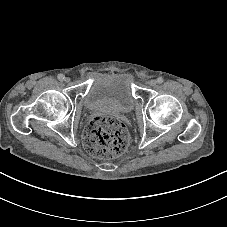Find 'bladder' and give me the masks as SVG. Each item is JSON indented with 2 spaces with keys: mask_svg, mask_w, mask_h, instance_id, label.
Masks as SVG:
<instances>
[{
  "mask_svg": "<svg viewBox=\"0 0 227 227\" xmlns=\"http://www.w3.org/2000/svg\"><path fill=\"white\" fill-rule=\"evenodd\" d=\"M136 101L129 74L103 73L90 78L81 106L83 113L109 109L126 116L132 112Z\"/></svg>",
  "mask_w": 227,
  "mask_h": 227,
  "instance_id": "obj_1",
  "label": "bladder"
}]
</instances>
